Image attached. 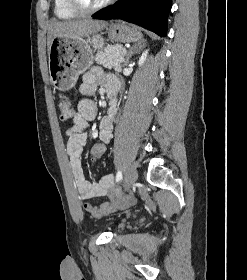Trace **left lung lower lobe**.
Wrapping results in <instances>:
<instances>
[{
	"label": "left lung lower lobe",
	"instance_id": "left-lung-lower-lobe-1",
	"mask_svg": "<svg viewBox=\"0 0 247 280\" xmlns=\"http://www.w3.org/2000/svg\"><path fill=\"white\" fill-rule=\"evenodd\" d=\"M172 0H118L95 19H123L164 37Z\"/></svg>",
	"mask_w": 247,
	"mask_h": 280
}]
</instances>
